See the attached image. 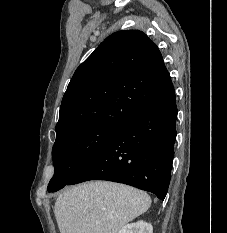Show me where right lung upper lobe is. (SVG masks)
Wrapping results in <instances>:
<instances>
[{
    "label": "right lung upper lobe",
    "mask_w": 227,
    "mask_h": 233,
    "mask_svg": "<svg viewBox=\"0 0 227 233\" xmlns=\"http://www.w3.org/2000/svg\"><path fill=\"white\" fill-rule=\"evenodd\" d=\"M173 92L163 57L146 34L113 33L75 71L62 99L56 135L84 126L120 128Z\"/></svg>",
    "instance_id": "right-lung-upper-lobe-1"
}]
</instances>
